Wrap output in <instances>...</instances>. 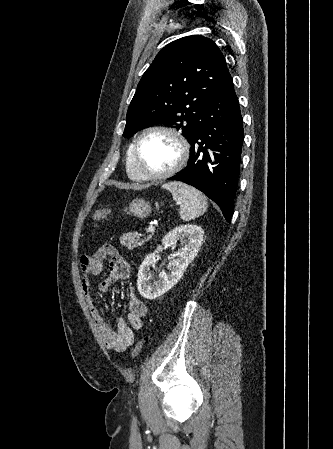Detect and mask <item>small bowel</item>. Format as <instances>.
Instances as JSON below:
<instances>
[{
    "mask_svg": "<svg viewBox=\"0 0 333 449\" xmlns=\"http://www.w3.org/2000/svg\"><path fill=\"white\" fill-rule=\"evenodd\" d=\"M108 259L109 275L99 283V290L107 292L120 280L129 278L130 266L112 244H105L94 255H85L80 259L82 273L81 288L91 311L96 329L106 346L117 352L125 351L135 340V331L143 326L148 308L135 294L129 297L128 318H118L116 328L112 329L95 306L91 295V279L101 273L103 261Z\"/></svg>",
    "mask_w": 333,
    "mask_h": 449,
    "instance_id": "obj_1",
    "label": "small bowel"
}]
</instances>
